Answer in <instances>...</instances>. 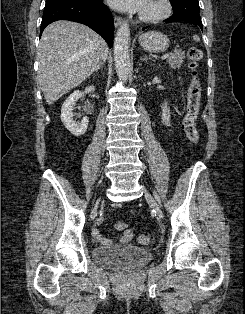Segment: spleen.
<instances>
[{
  "label": "spleen",
  "mask_w": 245,
  "mask_h": 314,
  "mask_svg": "<svg viewBox=\"0 0 245 314\" xmlns=\"http://www.w3.org/2000/svg\"><path fill=\"white\" fill-rule=\"evenodd\" d=\"M193 40L196 41V42H199L200 41V38L198 35H194L193 36Z\"/></svg>",
  "instance_id": "spleen-1"
}]
</instances>
